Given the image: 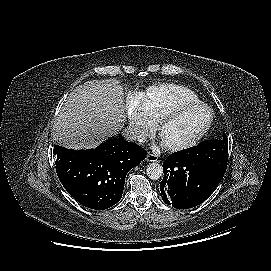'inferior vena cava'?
Instances as JSON below:
<instances>
[{
    "label": "inferior vena cava",
    "mask_w": 271,
    "mask_h": 271,
    "mask_svg": "<svg viewBox=\"0 0 271 271\" xmlns=\"http://www.w3.org/2000/svg\"><path fill=\"white\" fill-rule=\"evenodd\" d=\"M123 137L128 141L144 142L145 136L132 127H127L122 131Z\"/></svg>",
    "instance_id": "obj_1"
}]
</instances>
